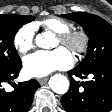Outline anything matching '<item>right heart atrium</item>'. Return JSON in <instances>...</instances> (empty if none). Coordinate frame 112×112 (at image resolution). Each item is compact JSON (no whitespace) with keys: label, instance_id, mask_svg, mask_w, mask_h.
<instances>
[{"label":"right heart atrium","instance_id":"d8ad5b80","mask_svg":"<svg viewBox=\"0 0 112 112\" xmlns=\"http://www.w3.org/2000/svg\"><path fill=\"white\" fill-rule=\"evenodd\" d=\"M13 44L20 54H26L34 48L35 26L25 24L20 27L14 35Z\"/></svg>","mask_w":112,"mask_h":112}]
</instances>
